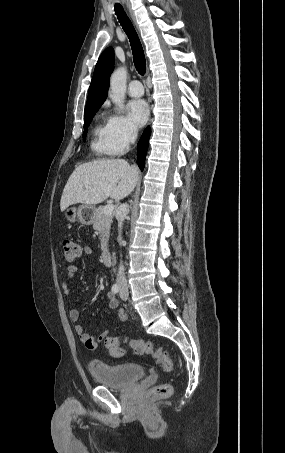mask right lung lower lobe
Here are the masks:
<instances>
[{
  "instance_id": "right-lung-lower-lobe-1",
  "label": "right lung lower lobe",
  "mask_w": 285,
  "mask_h": 453,
  "mask_svg": "<svg viewBox=\"0 0 285 453\" xmlns=\"http://www.w3.org/2000/svg\"><path fill=\"white\" fill-rule=\"evenodd\" d=\"M150 137V128L148 127L142 134L138 144H137V154H138V166L141 170L145 166L146 152L148 148V142Z\"/></svg>"
}]
</instances>
